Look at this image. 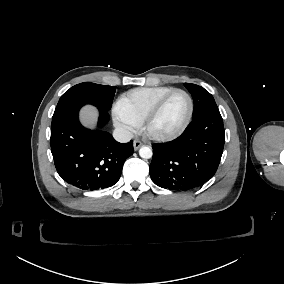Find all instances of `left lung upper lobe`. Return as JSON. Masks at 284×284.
<instances>
[{"instance_id": "5c2ea615", "label": "left lung upper lobe", "mask_w": 284, "mask_h": 284, "mask_svg": "<svg viewBox=\"0 0 284 284\" xmlns=\"http://www.w3.org/2000/svg\"><path fill=\"white\" fill-rule=\"evenodd\" d=\"M187 90L191 93L194 101L192 119L210 112H219L213 96L201 86L185 83Z\"/></svg>"}]
</instances>
